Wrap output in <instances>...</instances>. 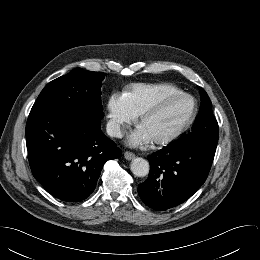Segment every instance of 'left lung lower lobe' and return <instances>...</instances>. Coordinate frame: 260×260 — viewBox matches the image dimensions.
I'll return each mask as SVG.
<instances>
[{"label": "left lung lower lobe", "mask_w": 260, "mask_h": 260, "mask_svg": "<svg viewBox=\"0 0 260 260\" xmlns=\"http://www.w3.org/2000/svg\"><path fill=\"white\" fill-rule=\"evenodd\" d=\"M216 147L177 141L148 156L150 174L138 194L150 208L164 211L186 201L205 182Z\"/></svg>", "instance_id": "1"}]
</instances>
